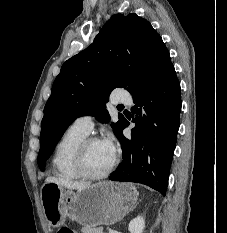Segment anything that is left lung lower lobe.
Here are the masks:
<instances>
[{"label":"left lung lower lobe","mask_w":227,"mask_h":233,"mask_svg":"<svg viewBox=\"0 0 227 233\" xmlns=\"http://www.w3.org/2000/svg\"><path fill=\"white\" fill-rule=\"evenodd\" d=\"M133 96L131 138L117 136L123 161L110 175L113 181L145 184L165 195L176 146L181 111L180 83L171 65L146 91Z\"/></svg>","instance_id":"obj_1"}]
</instances>
